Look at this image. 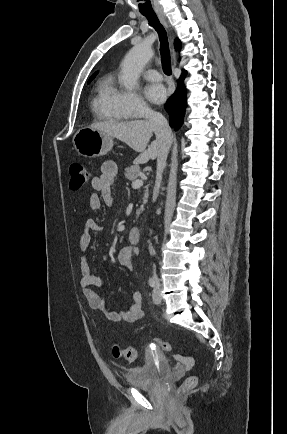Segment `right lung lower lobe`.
<instances>
[{
    "mask_svg": "<svg viewBox=\"0 0 287 434\" xmlns=\"http://www.w3.org/2000/svg\"><path fill=\"white\" fill-rule=\"evenodd\" d=\"M185 75L186 71L184 70L178 80L176 91L170 96L165 104V109L169 113L170 117V125L174 126L176 129H179L183 124L185 108L187 106L186 88L184 85Z\"/></svg>",
    "mask_w": 287,
    "mask_h": 434,
    "instance_id": "98d812e1",
    "label": "right lung lower lobe"
}]
</instances>
